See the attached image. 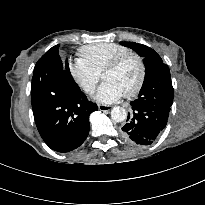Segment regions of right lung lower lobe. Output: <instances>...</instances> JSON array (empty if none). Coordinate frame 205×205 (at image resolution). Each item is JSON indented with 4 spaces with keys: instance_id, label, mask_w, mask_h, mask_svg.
Listing matches in <instances>:
<instances>
[{
    "instance_id": "right-lung-lower-lobe-1",
    "label": "right lung lower lobe",
    "mask_w": 205,
    "mask_h": 205,
    "mask_svg": "<svg viewBox=\"0 0 205 205\" xmlns=\"http://www.w3.org/2000/svg\"><path fill=\"white\" fill-rule=\"evenodd\" d=\"M56 45L36 63L31 103L37 129L44 142L58 152L79 147L89 133V116L97 111L73 80L68 62L63 67Z\"/></svg>"
}]
</instances>
